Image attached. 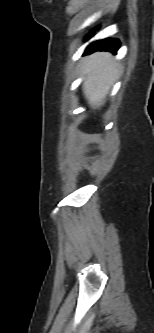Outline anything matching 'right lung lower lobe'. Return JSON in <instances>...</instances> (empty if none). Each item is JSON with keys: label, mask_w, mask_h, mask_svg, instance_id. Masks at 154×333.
Listing matches in <instances>:
<instances>
[{"label": "right lung lower lobe", "mask_w": 154, "mask_h": 333, "mask_svg": "<svg viewBox=\"0 0 154 333\" xmlns=\"http://www.w3.org/2000/svg\"><path fill=\"white\" fill-rule=\"evenodd\" d=\"M120 47V42L118 39H104L100 41L93 42L88 46L86 53H92L94 51H110L116 53Z\"/></svg>", "instance_id": "1"}]
</instances>
